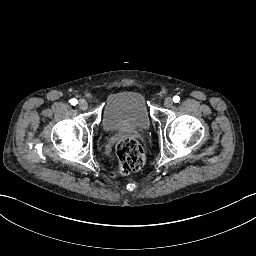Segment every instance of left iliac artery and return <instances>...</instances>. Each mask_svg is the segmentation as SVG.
<instances>
[{
    "label": "left iliac artery",
    "mask_w": 256,
    "mask_h": 256,
    "mask_svg": "<svg viewBox=\"0 0 256 256\" xmlns=\"http://www.w3.org/2000/svg\"><path fill=\"white\" fill-rule=\"evenodd\" d=\"M173 101L175 102V103H178L179 101H180V97L179 96H174L173 97Z\"/></svg>",
    "instance_id": "44dca946"
}]
</instances>
